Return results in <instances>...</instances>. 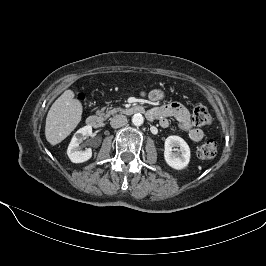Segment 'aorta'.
<instances>
[{
	"label": "aorta",
	"mask_w": 266,
	"mask_h": 266,
	"mask_svg": "<svg viewBox=\"0 0 266 266\" xmlns=\"http://www.w3.org/2000/svg\"><path fill=\"white\" fill-rule=\"evenodd\" d=\"M144 122V118L143 116L140 114V113H137V114H134L133 117H132V123L135 125V126H140L142 125Z\"/></svg>",
	"instance_id": "obj_1"
}]
</instances>
